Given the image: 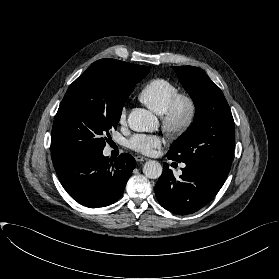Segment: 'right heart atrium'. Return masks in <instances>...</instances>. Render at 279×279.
<instances>
[{
    "mask_svg": "<svg viewBox=\"0 0 279 279\" xmlns=\"http://www.w3.org/2000/svg\"><path fill=\"white\" fill-rule=\"evenodd\" d=\"M126 118H127V110L126 108H123L119 114V122L121 124H124L126 122Z\"/></svg>",
    "mask_w": 279,
    "mask_h": 279,
    "instance_id": "right-heart-atrium-1",
    "label": "right heart atrium"
}]
</instances>
